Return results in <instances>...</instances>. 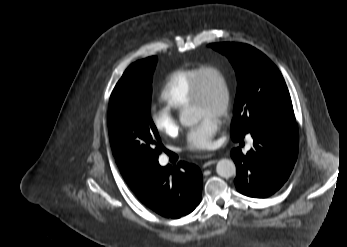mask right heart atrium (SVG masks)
I'll return each instance as SVG.
<instances>
[{
  "label": "right heart atrium",
  "instance_id": "d8ad5b80",
  "mask_svg": "<svg viewBox=\"0 0 347 247\" xmlns=\"http://www.w3.org/2000/svg\"><path fill=\"white\" fill-rule=\"evenodd\" d=\"M150 120L153 127L165 136H173L178 131L177 119L167 107L153 108Z\"/></svg>",
  "mask_w": 347,
  "mask_h": 247
}]
</instances>
